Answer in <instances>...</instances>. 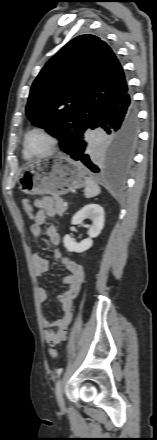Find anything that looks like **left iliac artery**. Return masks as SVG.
Instances as JSON below:
<instances>
[{
	"instance_id": "left-iliac-artery-1",
	"label": "left iliac artery",
	"mask_w": 157,
	"mask_h": 440,
	"mask_svg": "<svg viewBox=\"0 0 157 440\" xmlns=\"http://www.w3.org/2000/svg\"><path fill=\"white\" fill-rule=\"evenodd\" d=\"M62 371H63V368H59V369H57V371H56L57 376H59V375L62 373Z\"/></svg>"
}]
</instances>
